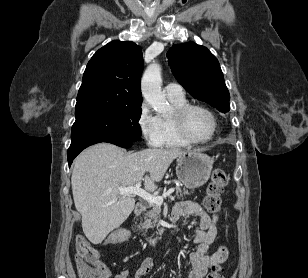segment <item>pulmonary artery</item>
I'll return each instance as SVG.
<instances>
[{
	"instance_id": "1",
	"label": "pulmonary artery",
	"mask_w": 308,
	"mask_h": 278,
	"mask_svg": "<svg viewBox=\"0 0 308 278\" xmlns=\"http://www.w3.org/2000/svg\"><path fill=\"white\" fill-rule=\"evenodd\" d=\"M164 92L168 98H183L184 91L179 84L170 83L164 88Z\"/></svg>"
}]
</instances>
